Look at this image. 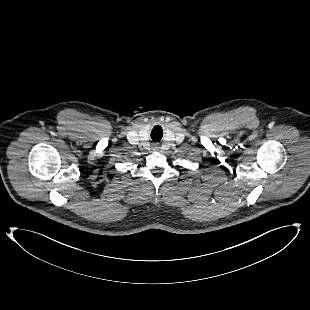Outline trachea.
Listing matches in <instances>:
<instances>
[{"instance_id":"3493384b","label":"trachea","mask_w":310,"mask_h":310,"mask_svg":"<svg viewBox=\"0 0 310 310\" xmlns=\"http://www.w3.org/2000/svg\"><path fill=\"white\" fill-rule=\"evenodd\" d=\"M151 137L154 140H160L162 137V129L159 126H156L151 133Z\"/></svg>"}]
</instances>
